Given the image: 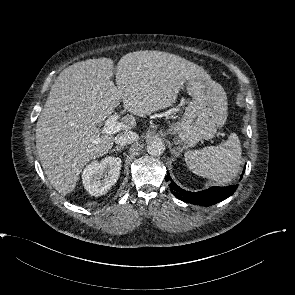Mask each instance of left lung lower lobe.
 Masks as SVG:
<instances>
[{"label": "left lung lower lobe", "instance_id": "1", "mask_svg": "<svg viewBox=\"0 0 295 295\" xmlns=\"http://www.w3.org/2000/svg\"><path fill=\"white\" fill-rule=\"evenodd\" d=\"M165 180L171 181L169 185L170 189L173 195H175L178 199L184 202L201 206H211L220 201H223L229 196H231L238 188V185H232L227 187H212L200 192H188L178 187L171 180V177L168 172L165 176Z\"/></svg>", "mask_w": 295, "mask_h": 295}]
</instances>
